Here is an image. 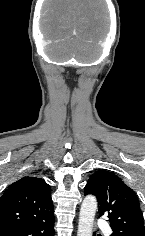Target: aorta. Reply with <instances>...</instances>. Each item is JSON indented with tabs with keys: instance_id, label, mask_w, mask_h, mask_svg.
<instances>
[{
	"instance_id": "1",
	"label": "aorta",
	"mask_w": 145,
	"mask_h": 236,
	"mask_svg": "<svg viewBox=\"0 0 145 236\" xmlns=\"http://www.w3.org/2000/svg\"><path fill=\"white\" fill-rule=\"evenodd\" d=\"M97 209V200L88 195L84 198L79 215L77 236H92L93 222Z\"/></svg>"
}]
</instances>
